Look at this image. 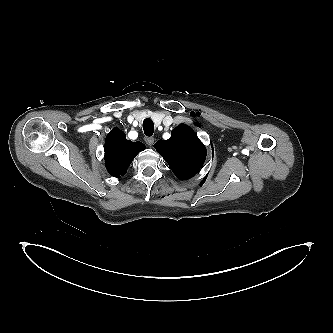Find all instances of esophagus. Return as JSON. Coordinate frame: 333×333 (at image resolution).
Masks as SVG:
<instances>
[{"instance_id":"esophagus-1","label":"esophagus","mask_w":333,"mask_h":333,"mask_svg":"<svg viewBox=\"0 0 333 333\" xmlns=\"http://www.w3.org/2000/svg\"><path fill=\"white\" fill-rule=\"evenodd\" d=\"M155 139L153 137H146L145 142L148 146H152L154 144Z\"/></svg>"}]
</instances>
